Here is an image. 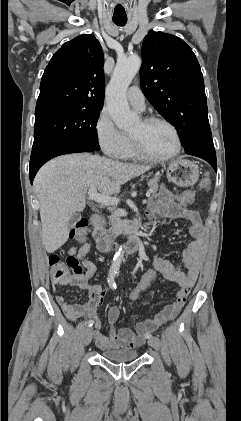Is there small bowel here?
<instances>
[{
  "label": "small bowel",
  "instance_id": "small-bowel-1",
  "mask_svg": "<svg viewBox=\"0 0 241 421\" xmlns=\"http://www.w3.org/2000/svg\"><path fill=\"white\" fill-rule=\"evenodd\" d=\"M148 215L187 220L189 222L188 232L191 237V241L183 250L180 259L181 264L186 269L185 271L178 267L174 261L163 257L155 256L150 259L154 268L166 280L180 286V289L176 293L175 301L167 305L153 319L138 322L135 330L126 327L115 328L120 310L118 306L113 305L107 313L109 334L105 336L100 332L102 322L97 315V310L106 295V291L101 286L89 282L96 272V266L87 258L90 251V245L88 243L82 244L78 249L72 248L69 251V255L76 257L81 262L85 272L73 276L68 281L56 283L58 285L73 284L88 293V300L81 304H70L60 294L56 295V300L69 320L75 322L82 316H88L90 320L94 321L95 329L93 331V337L97 346L102 350L118 348L135 349L142 346L146 336L151 331L178 315L198 278L207 240L206 228L202 223L199 212L185 208L176 201L175 196L170 190L163 187L150 200Z\"/></svg>",
  "mask_w": 241,
  "mask_h": 421
}]
</instances>
